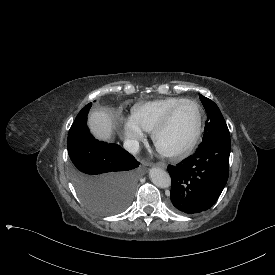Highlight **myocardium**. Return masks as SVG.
I'll return each mask as SVG.
<instances>
[{"label":"myocardium","instance_id":"1","mask_svg":"<svg viewBox=\"0 0 275 275\" xmlns=\"http://www.w3.org/2000/svg\"><path fill=\"white\" fill-rule=\"evenodd\" d=\"M184 104H191L195 107V110H196L197 118H196V124H195L193 132L191 133L189 138L182 145H180L177 148L165 149V148L160 147L158 145V138L169 127L172 117H173L174 113L177 111V109ZM201 130H202L201 107L199 106V104L196 101L191 100V99H186V100H183V101L175 104L166 113L163 120L153 128V130L151 132V140H152V144H153L155 151L157 153H159L161 156L168 157V158H178V157L185 155L193 148V146L195 145V143L197 142V140L200 136Z\"/></svg>","mask_w":275,"mask_h":275}]
</instances>
